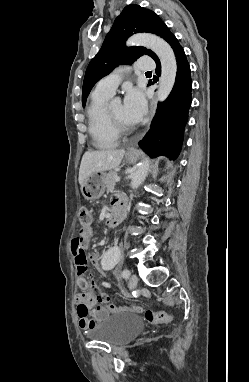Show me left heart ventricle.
Returning a JSON list of instances; mask_svg holds the SVG:
<instances>
[{
    "label": "left heart ventricle",
    "instance_id": "obj_1",
    "mask_svg": "<svg viewBox=\"0 0 249 382\" xmlns=\"http://www.w3.org/2000/svg\"><path fill=\"white\" fill-rule=\"evenodd\" d=\"M110 113L114 119L123 124L126 127L132 128L133 125L127 122L124 118L123 107L121 104H114L109 107Z\"/></svg>",
    "mask_w": 249,
    "mask_h": 382
}]
</instances>
